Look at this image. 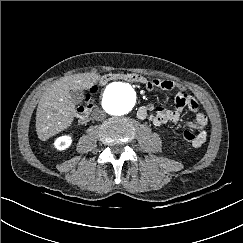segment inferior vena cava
I'll return each mask as SVG.
<instances>
[{
  "label": "inferior vena cava",
  "mask_w": 243,
  "mask_h": 243,
  "mask_svg": "<svg viewBox=\"0 0 243 243\" xmlns=\"http://www.w3.org/2000/svg\"><path fill=\"white\" fill-rule=\"evenodd\" d=\"M92 116H93V118H94L95 120L100 121V120L105 119V117H106V112H105L103 109H99V108H97V109H95V110L92 112Z\"/></svg>",
  "instance_id": "602c4592"
}]
</instances>
